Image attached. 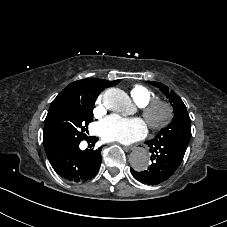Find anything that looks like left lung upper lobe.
I'll return each instance as SVG.
<instances>
[{"label": "left lung upper lobe", "instance_id": "obj_1", "mask_svg": "<svg viewBox=\"0 0 227 227\" xmlns=\"http://www.w3.org/2000/svg\"><path fill=\"white\" fill-rule=\"evenodd\" d=\"M149 83L158 87L169 98L174 108L173 120L165 128H162L152 140L170 141L188 146L191 138V120L183 101L176 93L170 92L164 84L153 81H149Z\"/></svg>", "mask_w": 227, "mask_h": 227}]
</instances>
